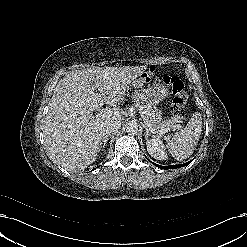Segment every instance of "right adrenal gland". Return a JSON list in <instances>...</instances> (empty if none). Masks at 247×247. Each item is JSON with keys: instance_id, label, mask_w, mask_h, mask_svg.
<instances>
[{"instance_id": "1", "label": "right adrenal gland", "mask_w": 247, "mask_h": 247, "mask_svg": "<svg viewBox=\"0 0 247 247\" xmlns=\"http://www.w3.org/2000/svg\"><path fill=\"white\" fill-rule=\"evenodd\" d=\"M112 137V134H105L102 138V143H103V146L106 144V142L109 140V138Z\"/></svg>"}]
</instances>
